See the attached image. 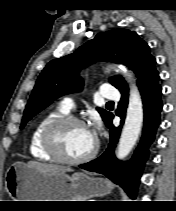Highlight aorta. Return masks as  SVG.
<instances>
[{
	"mask_svg": "<svg viewBox=\"0 0 176 211\" xmlns=\"http://www.w3.org/2000/svg\"><path fill=\"white\" fill-rule=\"evenodd\" d=\"M118 69L131 82L126 119L116 152V157L123 160L131 152L139 138L143 125V103L140 92L135 82L132 81V74L124 67H118Z\"/></svg>",
	"mask_w": 176,
	"mask_h": 211,
	"instance_id": "1",
	"label": "aorta"
}]
</instances>
